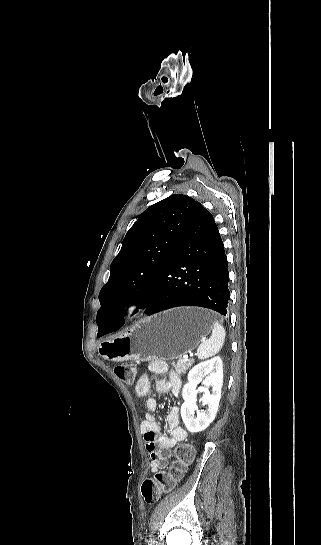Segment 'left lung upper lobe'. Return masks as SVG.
Listing matches in <instances>:
<instances>
[{
	"label": "left lung upper lobe",
	"instance_id": "left-lung-upper-lobe-1",
	"mask_svg": "<svg viewBox=\"0 0 321 545\" xmlns=\"http://www.w3.org/2000/svg\"><path fill=\"white\" fill-rule=\"evenodd\" d=\"M199 202L174 194L150 206L127 232L110 266V278L99 293L98 334L114 310L144 303L155 292L181 234Z\"/></svg>",
	"mask_w": 321,
	"mask_h": 545
}]
</instances>
